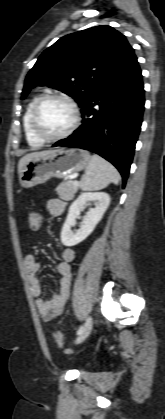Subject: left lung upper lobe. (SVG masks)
Listing matches in <instances>:
<instances>
[{
    "label": "left lung upper lobe",
    "mask_w": 165,
    "mask_h": 419,
    "mask_svg": "<svg viewBox=\"0 0 165 419\" xmlns=\"http://www.w3.org/2000/svg\"><path fill=\"white\" fill-rule=\"evenodd\" d=\"M133 54L125 36L110 26L66 35L40 55L27 74L21 98L35 86H49L73 97L82 109Z\"/></svg>",
    "instance_id": "1"
}]
</instances>
